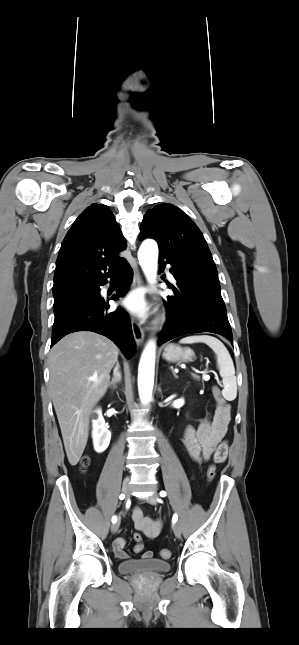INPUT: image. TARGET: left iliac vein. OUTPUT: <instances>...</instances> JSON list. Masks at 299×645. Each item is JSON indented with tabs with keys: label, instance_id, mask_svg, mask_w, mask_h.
<instances>
[{
	"label": "left iliac vein",
	"instance_id": "4c4485c4",
	"mask_svg": "<svg viewBox=\"0 0 299 645\" xmlns=\"http://www.w3.org/2000/svg\"><path fill=\"white\" fill-rule=\"evenodd\" d=\"M147 501L152 505H156L158 501V496L156 494H153L147 498ZM173 532L177 538L181 537V529L178 523L173 524Z\"/></svg>",
	"mask_w": 299,
	"mask_h": 645
}]
</instances>
